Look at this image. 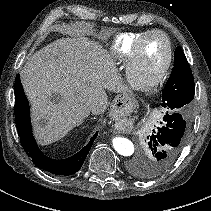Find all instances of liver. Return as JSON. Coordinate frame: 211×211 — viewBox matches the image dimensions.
I'll return each mask as SVG.
<instances>
[{
	"label": "liver",
	"instance_id": "liver-1",
	"mask_svg": "<svg viewBox=\"0 0 211 211\" xmlns=\"http://www.w3.org/2000/svg\"><path fill=\"white\" fill-rule=\"evenodd\" d=\"M21 80L31 101L34 134L48 145L108 106L106 89L127 93L110 56L86 37L63 38L28 58ZM58 95V102L51 97ZM91 102L95 103L93 108Z\"/></svg>",
	"mask_w": 211,
	"mask_h": 211
}]
</instances>
